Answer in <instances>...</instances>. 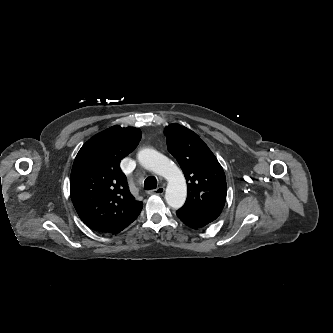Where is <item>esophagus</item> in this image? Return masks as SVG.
<instances>
[{
  "label": "esophagus",
  "instance_id": "esophagus-1",
  "mask_svg": "<svg viewBox=\"0 0 333 333\" xmlns=\"http://www.w3.org/2000/svg\"><path fill=\"white\" fill-rule=\"evenodd\" d=\"M164 191H165V188L162 187V186H160V187H158V188H156V189H154V190H150V191L148 192V194L163 195V194H164Z\"/></svg>",
  "mask_w": 333,
  "mask_h": 333
}]
</instances>
